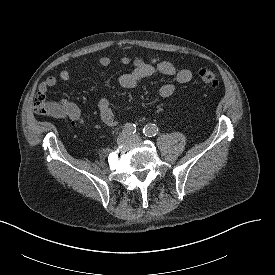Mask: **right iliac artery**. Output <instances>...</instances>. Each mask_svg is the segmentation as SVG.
Here are the masks:
<instances>
[{
	"label": "right iliac artery",
	"instance_id": "1",
	"mask_svg": "<svg viewBox=\"0 0 275 275\" xmlns=\"http://www.w3.org/2000/svg\"><path fill=\"white\" fill-rule=\"evenodd\" d=\"M123 131L127 134H135L136 133V125L132 123H126L123 127Z\"/></svg>",
	"mask_w": 275,
	"mask_h": 275
}]
</instances>
